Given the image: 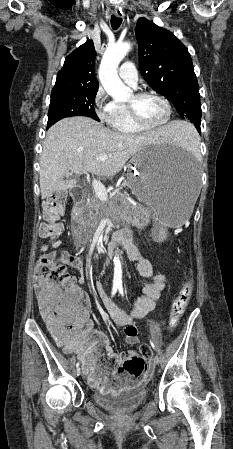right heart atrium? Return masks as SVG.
<instances>
[{"instance_id": "1", "label": "right heart atrium", "mask_w": 233, "mask_h": 449, "mask_svg": "<svg viewBox=\"0 0 233 449\" xmlns=\"http://www.w3.org/2000/svg\"><path fill=\"white\" fill-rule=\"evenodd\" d=\"M94 106L100 120L109 121L114 111V102L108 100V95L102 86L96 91Z\"/></svg>"}]
</instances>
